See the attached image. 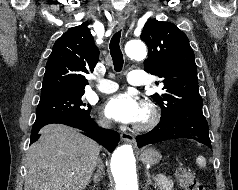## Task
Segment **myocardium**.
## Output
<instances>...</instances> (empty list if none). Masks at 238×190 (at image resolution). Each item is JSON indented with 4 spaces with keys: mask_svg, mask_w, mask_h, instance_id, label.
Here are the masks:
<instances>
[{
    "mask_svg": "<svg viewBox=\"0 0 238 190\" xmlns=\"http://www.w3.org/2000/svg\"><path fill=\"white\" fill-rule=\"evenodd\" d=\"M141 109L144 117L134 124V129L140 132L151 130L159 122V112L156 106L148 100L142 101Z\"/></svg>",
    "mask_w": 238,
    "mask_h": 190,
    "instance_id": "1",
    "label": "myocardium"
}]
</instances>
